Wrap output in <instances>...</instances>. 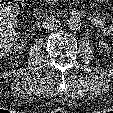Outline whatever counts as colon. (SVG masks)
<instances>
[{"instance_id": "obj_1", "label": "colon", "mask_w": 113, "mask_h": 113, "mask_svg": "<svg viewBox=\"0 0 113 113\" xmlns=\"http://www.w3.org/2000/svg\"><path fill=\"white\" fill-rule=\"evenodd\" d=\"M16 1L26 3L31 0H0V57L10 50L15 36L13 27L5 18L6 13L4 14V10L11 9L13 14L16 13L18 7Z\"/></svg>"}]
</instances>
